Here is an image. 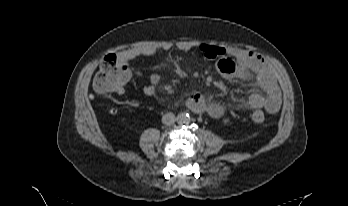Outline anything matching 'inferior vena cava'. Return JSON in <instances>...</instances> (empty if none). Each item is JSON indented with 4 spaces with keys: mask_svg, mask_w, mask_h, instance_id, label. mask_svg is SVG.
I'll use <instances>...</instances> for the list:
<instances>
[{
    "mask_svg": "<svg viewBox=\"0 0 348 206\" xmlns=\"http://www.w3.org/2000/svg\"><path fill=\"white\" fill-rule=\"evenodd\" d=\"M176 121V117L172 112H168L162 116V123L165 125H173Z\"/></svg>",
    "mask_w": 348,
    "mask_h": 206,
    "instance_id": "obj_1",
    "label": "inferior vena cava"
}]
</instances>
